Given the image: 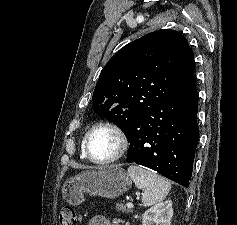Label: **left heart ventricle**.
<instances>
[{
    "label": "left heart ventricle",
    "mask_w": 237,
    "mask_h": 225,
    "mask_svg": "<svg viewBox=\"0 0 237 225\" xmlns=\"http://www.w3.org/2000/svg\"><path fill=\"white\" fill-rule=\"evenodd\" d=\"M117 148L115 136L107 130H98L90 138L89 149L93 157L104 159L111 156Z\"/></svg>",
    "instance_id": "obj_1"
}]
</instances>
